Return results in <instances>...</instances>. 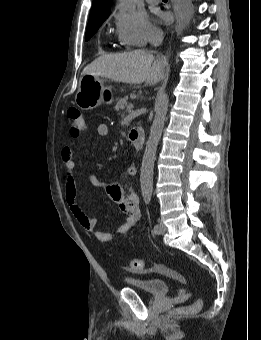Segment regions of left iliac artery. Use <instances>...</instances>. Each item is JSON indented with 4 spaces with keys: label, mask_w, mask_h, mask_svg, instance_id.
Returning <instances> with one entry per match:
<instances>
[{
    "label": "left iliac artery",
    "mask_w": 261,
    "mask_h": 340,
    "mask_svg": "<svg viewBox=\"0 0 261 340\" xmlns=\"http://www.w3.org/2000/svg\"><path fill=\"white\" fill-rule=\"evenodd\" d=\"M151 193H146L145 195H144V199H145V202L147 203V204H149V202H150V200H151ZM159 230V225L158 224H156V225H154V227H153V231L154 232H156V231H158Z\"/></svg>",
    "instance_id": "obj_1"
}]
</instances>
